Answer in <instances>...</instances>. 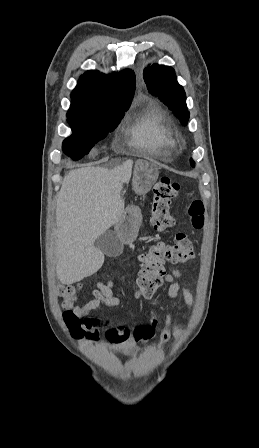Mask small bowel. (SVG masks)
Segmentation results:
<instances>
[{"label": "small bowel", "instance_id": "small-bowel-1", "mask_svg": "<svg viewBox=\"0 0 259 448\" xmlns=\"http://www.w3.org/2000/svg\"><path fill=\"white\" fill-rule=\"evenodd\" d=\"M181 273L177 269H171L165 275L168 283V295L172 300H178L180 294L185 304L190 307L193 303L192 295L186 289H183L178 283ZM92 298L82 304L71 306V312L82 321V327L87 332L86 337L90 341H96L99 338V331L102 322L90 314L100 306L116 307L120 304V299L114 295L112 289L103 282H97V288L91 292ZM178 313H169L165 317V327L160 334V341L166 342L172 334H179L180 330L177 326ZM159 323L157 315L153 314L148 323L140 325L133 330L128 328H108L106 330L107 341L103 342L102 347L123 352L129 355H135L139 352L138 342L150 340Z\"/></svg>", "mask_w": 259, "mask_h": 448}]
</instances>
